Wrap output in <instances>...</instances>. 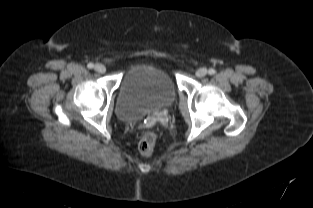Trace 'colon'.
Instances as JSON below:
<instances>
[{"instance_id": "obj_1", "label": "colon", "mask_w": 313, "mask_h": 208, "mask_svg": "<svg viewBox=\"0 0 313 208\" xmlns=\"http://www.w3.org/2000/svg\"><path fill=\"white\" fill-rule=\"evenodd\" d=\"M156 143V134L152 131L146 132L139 142V151L144 156L153 153Z\"/></svg>"}]
</instances>
